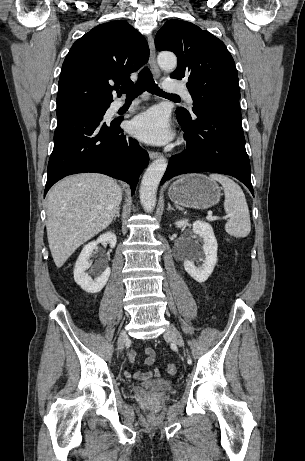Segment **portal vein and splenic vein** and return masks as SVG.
I'll return each mask as SVG.
<instances>
[{
	"mask_svg": "<svg viewBox=\"0 0 305 461\" xmlns=\"http://www.w3.org/2000/svg\"><path fill=\"white\" fill-rule=\"evenodd\" d=\"M225 218H226V217H222V218H221V217L212 216V215H208V216L206 217V219H207L208 221H214V220L225 219Z\"/></svg>",
	"mask_w": 305,
	"mask_h": 461,
	"instance_id": "portal-vein-and-splenic-vein-1",
	"label": "portal vein and splenic vein"
}]
</instances>
